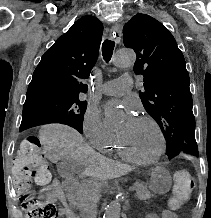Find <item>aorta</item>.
I'll return each mask as SVG.
<instances>
[{
	"instance_id": "aorta-1",
	"label": "aorta",
	"mask_w": 211,
	"mask_h": 218,
	"mask_svg": "<svg viewBox=\"0 0 211 218\" xmlns=\"http://www.w3.org/2000/svg\"><path fill=\"white\" fill-rule=\"evenodd\" d=\"M136 55L132 50H119L113 57V64L116 67L125 68L134 64ZM121 116L112 111L105 112V126L109 130H115L121 124ZM121 203L119 199L113 200L106 208L104 218H119Z\"/></svg>"
}]
</instances>
